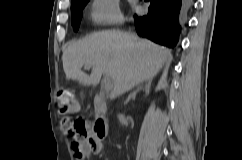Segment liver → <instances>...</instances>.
Segmentation results:
<instances>
[{"mask_svg":"<svg viewBox=\"0 0 242 160\" xmlns=\"http://www.w3.org/2000/svg\"><path fill=\"white\" fill-rule=\"evenodd\" d=\"M170 56L167 48L136 35L105 31L71 43L62 61L67 80L96 86L103 74L109 76L113 83L110 97L114 99L139 83L151 81ZM83 65L92 67L90 75L81 70Z\"/></svg>","mask_w":242,"mask_h":160,"instance_id":"6515ba94","label":"liver"}]
</instances>
